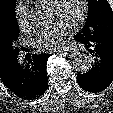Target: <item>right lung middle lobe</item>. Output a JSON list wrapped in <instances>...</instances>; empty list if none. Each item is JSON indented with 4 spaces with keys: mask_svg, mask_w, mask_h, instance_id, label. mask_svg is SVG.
Wrapping results in <instances>:
<instances>
[{
    "mask_svg": "<svg viewBox=\"0 0 113 113\" xmlns=\"http://www.w3.org/2000/svg\"><path fill=\"white\" fill-rule=\"evenodd\" d=\"M15 0L5 3V10L2 15V25L0 32V51L10 63L19 53L18 35L20 33L15 18Z\"/></svg>",
    "mask_w": 113,
    "mask_h": 113,
    "instance_id": "dd1d6c3e",
    "label": "right lung middle lobe"
}]
</instances>
